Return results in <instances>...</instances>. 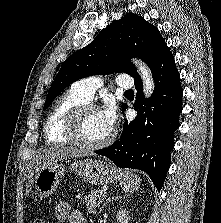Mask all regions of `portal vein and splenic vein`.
Segmentation results:
<instances>
[{"label": "portal vein and splenic vein", "instance_id": "18ae733b", "mask_svg": "<svg viewBox=\"0 0 221 223\" xmlns=\"http://www.w3.org/2000/svg\"><path fill=\"white\" fill-rule=\"evenodd\" d=\"M106 194H107L106 192H103V193H102L103 196H106Z\"/></svg>", "mask_w": 221, "mask_h": 223}]
</instances>
